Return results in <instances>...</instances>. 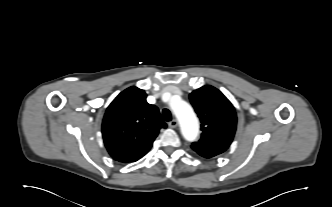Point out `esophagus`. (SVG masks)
<instances>
[{
    "label": "esophagus",
    "mask_w": 332,
    "mask_h": 207,
    "mask_svg": "<svg viewBox=\"0 0 332 207\" xmlns=\"http://www.w3.org/2000/svg\"><path fill=\"white\" fill-rule=\"evenodd\" d=\"M170 128H176L178 126V121L176 119H173L168 123Z\"/></svg>",
    "instance_id": "1"
}]
</instances>
